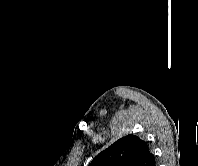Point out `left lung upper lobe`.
Returning <instances> with one entry per match:
<instances>
[{"instance_id": "obj_1", "label": "left lung upper lobe", "mask_w": 198, "mask_h": 166, "mask_svg": "<svg viewBox=\"0 0 198 166\" xmlns=\"http://www.w3.org/2000/svg\"><path fill=\"white\" fill-rule=\"evenodd\" d=\"M154 162L147 143L130 134L99 153L88 166H152Z\"/></svg>"}]
</instances>
